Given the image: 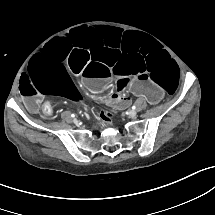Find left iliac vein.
<instances>
[{"instance_id": "obj_1", "label": "left iliac vein", "mask_w": 215, "mask_h": 215, "mask_svg": "<svg viewBox=\"0 0 215 215\" xmlns=\"http://www.w3.org/2000/svg\"><path fill=\"white\" fill-rule=\"evenodd\" d=\"M128 115L132 118H135L137 116V112L135 110H129Z\"/></svg>"}]
</instances>
